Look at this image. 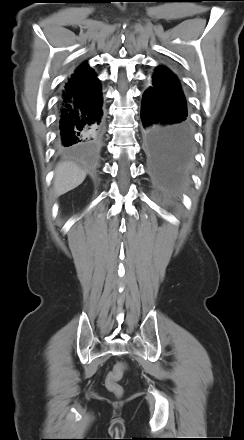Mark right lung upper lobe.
Returning <instances> with one entry per match:
<instances>
[{
	"label": "right lung upper lobe",
	"mask_w": 244,
	"mask_h": 440,
	"mask_svg": "<svg viewBox=\"0 0 244 440\" xmlns=\"http://www.w3.org/2000/svg\"><path fill=\"white\" fill-rule=\"evenodd\" d=\"M100 93V82L96 74L86 63H83L65 84L61 101L64 103L83 101Z\"/></svg>",
	"instance_id": "obj_1"
}]
</instances>
